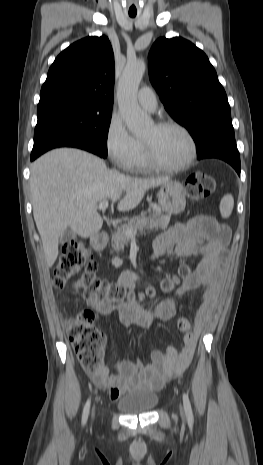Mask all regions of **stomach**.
I'll use <instances>...</instances> for the list:
<instances>
[{"label": "stomach", "mask_w": 263, "mask_h": 465, "mask_svg": "<svg viewBox=\"0 0 263 465\" xmlns=\"http://www.w3.org/2000/svg\"><path fill=\"white\" fill-rule=\"evenodd\" d=\"M158 203L168 214L183 212L186 206V197L182 184L170 181L162 185L158 192Z\"/></svg>", "instance_id": "stomach-1"}]
</instances>
